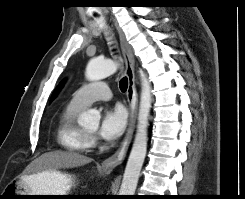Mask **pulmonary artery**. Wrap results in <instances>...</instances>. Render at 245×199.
<instances>
[{"instance_id": "obj_1", "label": "pulmonary artery", "mask_w": 245, "mask_h": 199, "mask_svg": "<svg viewBox=\"0 0 245 199\" xmlns=\"http://www.w3.org/2000/svg\"><path fill=\"white\" fill-rule=\"evenodd\" d=\"M111 97V91L106 83L93 82L79 88L73 94L70 103L84 109L95 101L109 100Z\"/></svg>"}]
</instances>
